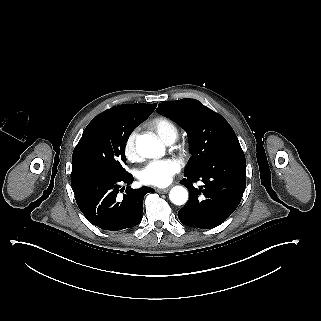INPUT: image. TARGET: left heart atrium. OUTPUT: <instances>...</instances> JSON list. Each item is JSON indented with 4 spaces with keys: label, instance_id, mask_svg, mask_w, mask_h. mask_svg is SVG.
<instances>
[{
    "label": "left heart atrium",
    "instance_id": "39dd6f15",
    "mask_svg": "<svg viewBox=\"0 0 321 321\" xmlns=\"http://www.w3.org/2000/svg\"><path fill=\"white\" fill-rule=\"evenodd\" d=\"M182 166L181 160L174 157L154 160L139 170L138 177L144 184L166 186Z\"/></svg>",
    "mask_w": 321,
    "mask_h": 321
}]
</instances>
